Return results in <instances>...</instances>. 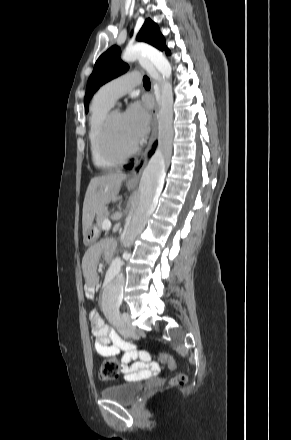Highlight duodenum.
Instances as JSON below:
<instances>
[{
    "label": "duodenum",
    "instance_id": "410a0bca",
    "mask_svg": "<svg viewBox=\"0 0 291 440\" xmlns=\"http://www.w3.org/2000/svg\"><path fill=\"white\" fill-rule=\"evenodd\" d=\"M106 258L109 262L113 261V251L106 254Z\"/></svg>",
    "mask_w": 291,
    "mask_h": 440
}]
</instances>
